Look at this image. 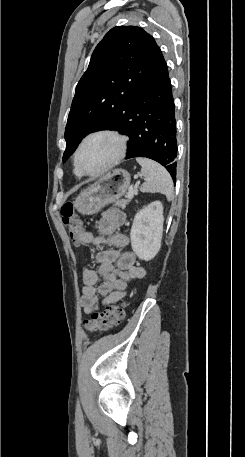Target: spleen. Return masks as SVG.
Masks as SVG:
<instances>
[{"label":"spleen","mask_w":245,"mask_h":457,"mask_svg":"<svg viewBox=\"0 0 245 457\" xmlns=\"http://www.w3.org/2000/svg\"><path fill=\"white\" fill-rule=\"evenodd\" d=\"M136 160L142 166L141 174L145 176V182L140 186L141 192H162L166 194L167 200H172L174 186L168 170L151 158L138 156Z\"/></svg>","instance_id":"3e777b00"}]
</instances>
